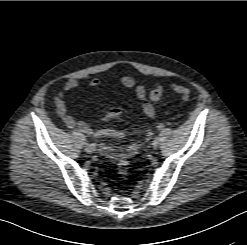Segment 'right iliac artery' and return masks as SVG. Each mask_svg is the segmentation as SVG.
I'll list each match as a JSON object with an SVG mask.
<instances>
[{
  "mask_svg": "<svg viewBox=\"0 0 247 245\" xmlns=\"http://www.w3.org/2000/svg\"><path fill=\"white\" fill-rule=\"evenodd\" d=\"M88 146L90 147V148H92V149H96V147H97V144L96 143H92V144H88Z\"/></svg>",
  "mask_w": 247,
  "mask_h": 245,
  "instance_id": "82829eb1",
  "label": "right iliac artery"
}]
</instances>
